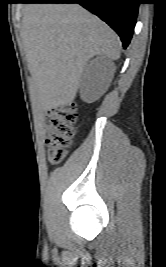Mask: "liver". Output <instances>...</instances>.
<instances>
[{
    "label": "liver",
    "instance_id": "obj_1",
    "mask_svg": "<svg viewBox=\"0 0 166 267\" xmlns=\"http://www.w3.org/2000/svg\"><path fill=\"white\" fill-rule=\"evenodd\" d=\"M21 35L42 111L73 102L91 57H120L117 34L78 4L26 5Z\"/></svg>",
    "mask_w": 166,
    "mask_h": 267
}]
</instances>
